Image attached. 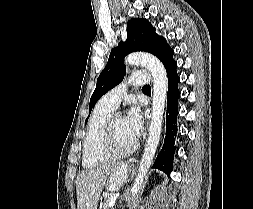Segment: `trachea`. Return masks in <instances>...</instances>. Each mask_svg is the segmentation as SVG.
<instances>
[{"mask_svg": "<svg viewBox=\"0 0 253 209\" xmlns=\"http://www.w3.org/2000/svg\"><path fill=\"white\" fill-rule=\"evenodd\" d=\"M143 88H150V86L146 85V86H144Z\"/></svg>", "mask_w": 253, "mask_h": 209, "instance_id": "trachea-1", "label": "trachea"}]
</instances>
